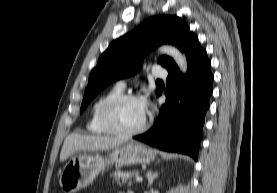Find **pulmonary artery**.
I'll use <instances>...</instances> for the list:
<instances>
[{
  "label": "pulmonary artery",
  "instance_id": "e3ab8cb5",
  "mask_svg": "<svg viewBox=\"0 0 277 193\" xmlns=\"http://www.w3.org/2000/svg\"><path fill=\"white\" fill-rule=\"evenodd\" d=\"M153 76L155 78H165L167 76V71L162 69V68H156L153 70ZM117 87H119L120 89H125L126 84L124 81H119L117 83Z\"/></svg>",
  "mask_w": 277,
  "mask_h": 193
}]
</instances>
